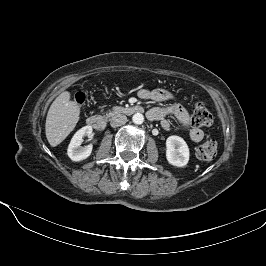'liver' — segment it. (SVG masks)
<instances>
[{"mask_svg": "<svg viewBox=\"0 0 266 266\" xmlns=\"http://www.w3.org/2000/svg\"><path fill=\"white\" fill-rule=\"evenodd\" d=\"M70 98V92L65 91L54 100L49 108L45 131L46 138L53 147L60 144L79 121L80 107Z\"/></svg>", "mask_w": 266, "mask_h": 266, "instance_id": "obj_1", "label": "liver"}]
</instances>
